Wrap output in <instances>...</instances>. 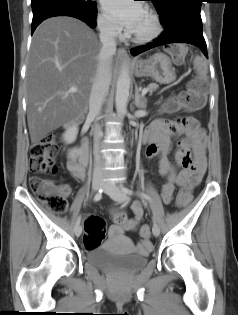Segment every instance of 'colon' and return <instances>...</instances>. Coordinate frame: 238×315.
I'll return each mask as SVG.
<instances>
[{
	"label": "colon",
	"mask_w": 238,
	"mask_h": 315,
	"mask_svg": "<svg viewBox=\"0 0 238 315\" xmlns=\"http://www.w3.org/2000/svg\"><path fill=\"white\" fill-rule=\"evenodd\" d=\"M167 52L172 59L181 63L184 61L188 48L180 44H169L166 46ZM197 76L190 84L187 90L182 91L167 103L169 110L186 109L197 111L202 109L206 104V66L202 59L194 60ZM58 145L56 137L48 134L37 141L31 148L30 152V168L35 174L29 180V186L36 198L42 202L48 209L55 213H64L68 208V202L63 196L59 187L51 180L40 178L39 174H47L56 172L55 156L57 154ZM192 199L190 188L181 191L176 197V205L185 207ZM114 221L118 225H125L128 218L124 212L118 211L114 213ZM105 222L98 216H90L85 221L84 245L86 249L94 248L100 245L105 234ZM151 231L148 225H143L140 229V235L148 239Z\"/></svg>",
	"instance_id": "colon-1"
}]
</instances>
